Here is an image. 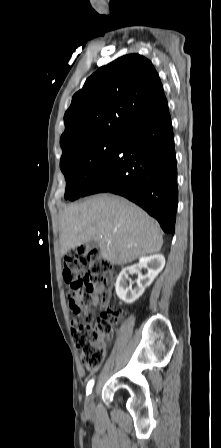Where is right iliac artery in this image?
I'll return each mask as SVG.
<instances>
[{
	"mask_svg": "<svg viewBox=\"0 0 221 448\" xmlns=\"http://www.w3.org/2000/svg\"><path fill=\"white\" fill-rule=\"evenodd\" d=\"M93 385H94V380L92 379L87 384V389H86L87 395L92 392Z\"/></svg>",
	"mask_w": 221,
	"mask_h": 448,
	"instance_id": "1",
	"label": "right iliac artery"
}]
</instances>
